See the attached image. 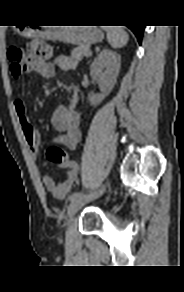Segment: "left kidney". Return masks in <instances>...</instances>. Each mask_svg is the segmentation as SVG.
I'll use <instances>...</instances> for the list:
<instances>
[{"label": "left kidney", "instance_id": "5707ae66", "mask_svg": "<svg viewBox=\"0 0 184 292\" xmlns=\"http://www.w3.org/2000/svg\"><path fill=\"white\" fill-rule=\"evenodd\" d=\"M120 66V56L109 49H104L94 59L90 66V76L98 83L101 93L90 97L91 105H99L112 91L117 81Z\"/></svg>", "mask_w": 184, "mask_h": 292}]
</instances>
